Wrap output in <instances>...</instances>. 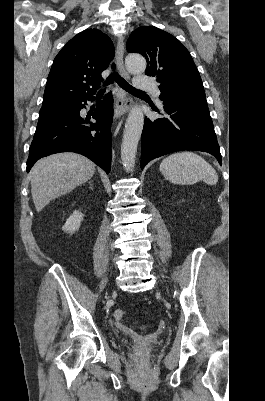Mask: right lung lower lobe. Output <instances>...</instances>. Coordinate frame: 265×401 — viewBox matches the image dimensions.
I'll list each match as a JSON object with an SVG mask.
<instances>
[{
	"instance_id": "1",
	"label": "right lung lower lobe",
	"mask_w": 265,
	"mask_h": 401,
	"mask_svg": "<svg viewBox=\"0 0 265 401\" xmlns=\"http://www.w3.org/2000/svg\"><path fill=\"white\" fill-rule=\"evenodd\" d=\"M88 97L71 110L48 111L39 114L36 132L29 149L27 172L45 156L59 152H75L91 159L107 173L111 167V132L113 118L112 95L107 94L90 116L80 117Z\"/></svg>"
}]
</instances>
